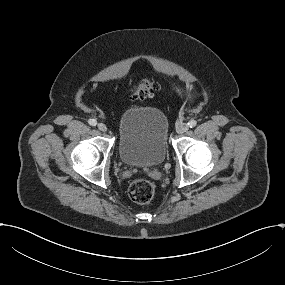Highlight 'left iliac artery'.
Masks as SVG:
<instances>
[{
    "mask_svg": "<svg viewBox=\"0 0 285 285\" xmlns=\"http://www.w3.org/2000/svg\"><path fill=\"white\" fill-rule=\"evenodd\" d=\"M196 124H197V122H196L195 120H190V121L188 122V125H189L190 128L195 127Z\"/></svg>",
    "mask_w": 285,
    "mask_h": 285,
    "instance_id": "44dca946",
    "label": "left iliac artery"
}]
</instances>
